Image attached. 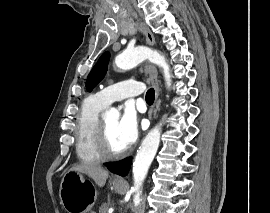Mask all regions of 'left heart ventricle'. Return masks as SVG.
I'll use <instances>...</instances> for the list:
<instances>
[{
	"instance_id": "obj_1",
	"label": "left heart ventricle",
	"mask_w": 270,
	"mask_h": 213,
	"mask_svg": "<svg viewBox=\"0 0 270 213\" xmlns=\"http://www.w3.org/2000/svg\"><path fill=\"white\" fill-rule=\"evenodd\" d=\"M103 123L106 129L107 140H108V144L110 148L116 152L124 150L125 148L122 142L120 141V138L117 132L118 120L115 118H106V119H103Z\"/></svg>"
}]
</instances>
